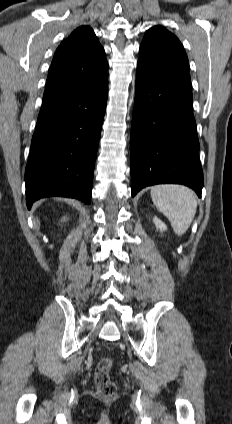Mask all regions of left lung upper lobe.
I'll return each mask as SVG.
<instances>
[{
	"mask_svg": "<svg viewBox=\"0 0 232 424\" xmlns=\"http://www.w3.org/2000/svg\"><path fill=\"white\" fill-rule=\"evenodd\" d=\"M137 69L150 74L188 73L189 63L178 38L162 26H154L140 45Z\"/></svg>",
	"mask_w": 232,
	"mask_h": 424,
	"instance_id": "obj_1",
	"label": "left lung upper lobe"
}]
</instances>
